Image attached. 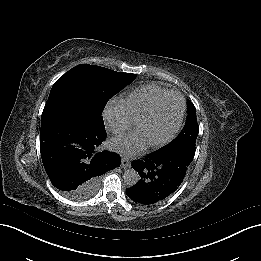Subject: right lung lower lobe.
<instances>
[{
	"label": "right lung lower lobe",
	"instance_id": "right-lung-lower-lobe-1",
	"mask_svg": "<svg viewBox=\"0 0 261 261\" xmlns=\"http://www.w3.org/2000/svg\"><path fill=\"white\" fill-rule=\"evenodd\" d=\"M107 134L103 118L79 106L47 102L41 117L40 151L52 184L64 194H78L121 158L98 147Z\"/></svg>",
	"mask_w": 261,
	"mask_h": 261
}]
</instances>
